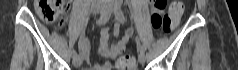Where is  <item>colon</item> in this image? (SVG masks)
<instances>
[{
  "instance_id": "5ec220e1",
  "label": "colon",
  "mask_w": 238,
  "mask_h": 70,
  "mask_svg": "<svg viewBox=\"0 0 238 70\" xmlns=\"http://www.w3.org/2000/svg\"><path fill=\"white\" fill-rule=\"evenodd\" d=\"M68 2L66 0H36L35 9L38 15L45 21H55L67 10ZM166 6L165 0L152 1V9L162 10ZM183 4L180 1H173L170 5L169 12L161 16L154 11L151 15V23L155 29H162L164 32H172L178 25ZM132 38V33H123L121 40L124 44H129ZM118 70H133L135 60L132 56L119 54L115 63Z\"/></svg>"
}]
</instances>
